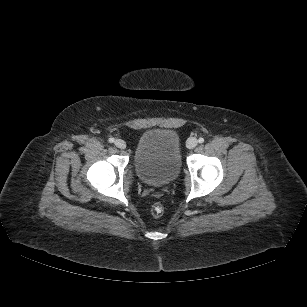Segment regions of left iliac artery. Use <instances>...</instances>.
I'll return each mask as SVG.
<instances>
[{
  "instance_id": "left-iliac-artery-1",
  "label": "left iliac artery",
  "mask_w": 307,
  "mask_h": 307,
  "mask_svg": "<svg viewBox=\"0 0 307 307\" xmlns=\"http://www.w3.org/2000/svg\"><path fill=\"white\" fill-rule=\"evenodd\" d=\"M198 142H199V143H203V142H204V138L200 137V138L198 139Z\"/></svg>"
}]
</instances>
